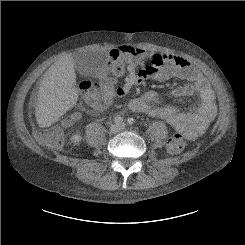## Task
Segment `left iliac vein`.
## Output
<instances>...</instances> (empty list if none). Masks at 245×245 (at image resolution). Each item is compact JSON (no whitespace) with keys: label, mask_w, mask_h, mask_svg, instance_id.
I'll use <instances>...</instances> for the list:
<instances>
[{"label":"left iliac vein","mask_w":245,"mask_h":245,"mask_svg":"<svg viewBox=\"0 0 245 245\" xmlns=\"http://www.w3.org/2000/svg\"><path fill=\"white\" fill-rule=\"evenodd\" d=\"M127 125L125 123L120 124L119 128L120 130L126 129Z\"/></svg>","instance_id":"4c4485c4"}]
</instances>
